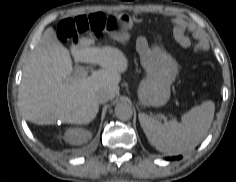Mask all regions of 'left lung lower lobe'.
Listing matches in <instances>:
<instances>
[{
	"label": "left lung lower lobe",
	"mask_w": 236,
	"mask_h": 182,
	"mask_svg": "<svg viewBox=\"0 0 236 182\" xmlns=\"http://www.w3.org/2000/svg\"><path fill=\"white\" fill-rule=\"evenodd\" d=\"M167 159L171 160V159H175V158H167ZM177 159H181V156L177 157Z\"/></svg>",
	"instance_id": "0a47b994"
}]
</instances>
